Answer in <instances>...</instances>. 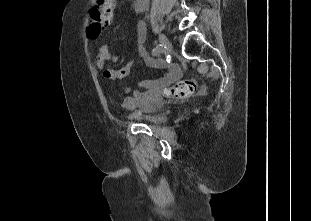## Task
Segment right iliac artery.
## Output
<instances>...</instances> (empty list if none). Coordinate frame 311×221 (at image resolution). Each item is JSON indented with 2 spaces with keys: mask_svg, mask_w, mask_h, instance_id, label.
<instances>
[{
  "mask_svg": "<svg viewBox=\"0 0 311 221\" xmlns=\"http://www.w3.org/2000/svg\"><path fill=\"white\" fill-rule=\"evenodd\" d=\"M162 52V45H157L153 50H152V55L157 56Z\"/></svg>",
  "mask_w": 311,
  "mask_h": 221,
  "instance_id": "right-iliac-artery-1",
  "label": "right iliac artery"
}]
</instances>
